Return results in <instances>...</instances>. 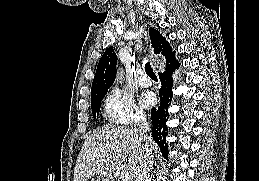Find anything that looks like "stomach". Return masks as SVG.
<instances>
[{"mask_svg":"<svg viewBox=\"0 0 259 181\" xmlns=\"http://www.w3.org/2000/svg\"><path fill=\"white\" fill-rule=\"evenodd\" d=\"M96 181H109V180L101 176V177H98Z\"/></svg>","mask_w":259,"mask_h":181,"instance_id":"stomach-1","label":"stomach"}]
</instances>
